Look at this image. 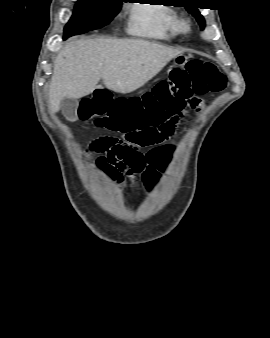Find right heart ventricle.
I'll use <instances>...</instances> for the list:
<instances>
[{"mask_svg":"<svg viewBox=\"0 0 270 338\" xmlns=\"http://www.w3.org/2000/svg\"><path fill=\"white\" fill-rule=\"evenodd\" d=\"M179 23V14L173 6L159 1L150 4L138 3L133 8L130 30L138 36L169 40L177 35Z\"/></svg>","mask_w":270,"mask_h":338,"instance_id":"1","label":"right heart ventricle"}]
</instances>
